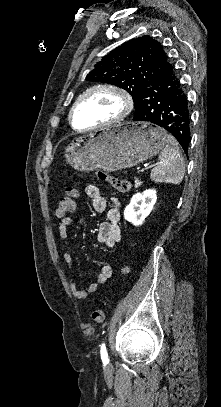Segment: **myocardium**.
I'll list each match as a JSON object with an SVG mask.
<instances>
[{"instance_id":"1","label":"myocardium","mask_w":221,"mask_h":407,"mask_svg":"<svg viewBox=\"0 0 221 407\" xmlns=\"http://www.w3.org/2000/svg\"><path fill=\"white\" fill-rule=\"evenodd\" d=\"M98 91H109V92H113V93L117 94L122 101L121 112L118 115H116L115 117H113L107 121H104L96 126L86 128L84 130H78L74 125V114H75L77 107L80 105V103L85 98H87L92 93H95ZM133 106H134V102H133L132 96L128 92V90H126L125 88H123L121 86L113 85V84L96 85V86H93V87L87 89L76 99L75 103L73 104V106L69 112V122L74 129H76L78 131L88 132V131L99 129L103 126L114 124L116 122L121 121L122 119H124L126 116H128L131 113V111L133 110Z\"/></svg>"}]
</instances>
